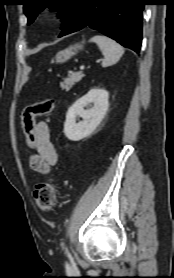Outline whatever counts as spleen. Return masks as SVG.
Wrapping results in <instances>:
<instances>
[{
	"label": "spleen",
	"mask_w": 174,
	"mask_h": 278,
	"mask_svg": "<svg viewBox=\"0 0 174 278\" xmlns=\"http://www.w3.org/2000/svg\"><path fill=\"white\" fill-rule=\"evenodd\" d=\"M90 42L96 43L104 55L102 67H108L115 64L124 54L123 47L107 36L96 35L90 39Z\"/></svg>",
	"instance_id": "3e777b00"
}]
</instances>
